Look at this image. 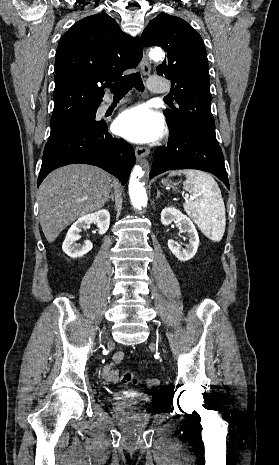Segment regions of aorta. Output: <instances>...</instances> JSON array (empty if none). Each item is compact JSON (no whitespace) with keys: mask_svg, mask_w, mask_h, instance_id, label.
Wrapping results in <instances>:
<instances>
[{"mask_svg":"<svg viewBox=\"0 0 279 465\" xmlns=\"http://www.w3.org/2000/svg\"><path fill=\"white\" fill-rule=\"evenodd\" d=\"M150 57L153 60H160L163 57V52L160 49H155L150 52ZM144 176V171L138 165L133 168L129 182V195L132 205L136 209H142L147 206V194L140 182V178Z\"/></svg>","mask_w":279,"mask_h":465,"instance_id":"obj_1","label":"aorta"}]
</instances>
